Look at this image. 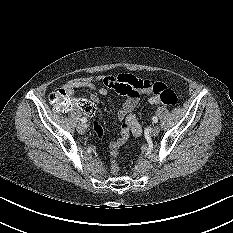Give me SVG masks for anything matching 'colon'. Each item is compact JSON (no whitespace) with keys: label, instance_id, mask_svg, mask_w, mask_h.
I'll use <instances>...</instances> for the list:
<instances>
[{"label":"colon","instance_id":"5ec220e1","mask_svg":"<svg viewBox=\"0 0 233 233\" xmlns=\"http://www.w3.org/2000/svg\"><path fill=\"white\" fill-rule=\"evenodd\" d=\"M120 88L124 90L138 89L144 87V84L140 79L130 75L121 74L119 75ZM151 88L156 95V100L153 105H176L178 103V96L175 92L163 83L154 82ZM50 102L55 111H65L71 106L80 107L82 112L89 115H94L97 112V106L91 100L82 98L78 95L69 96L63 88L55 89L50 94ZM105 121L102 117L97 116L91 122V133L95 138L96 143L103 144L106 141L105 136ZM117 151L111 153V171L116 174L118 172V164L116 162Z\"/></svg>","mask_w":233,"mask_h":233}]
</instances>
